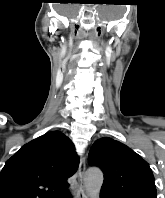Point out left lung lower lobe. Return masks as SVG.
<instances>
[{"label":"left lung lower lobe","instance_id":"0a47b994","mask_svg":"<svg viewBox=\"0 0 165 198\" xmlns=\"http://www.w3.org/2000/svg\"><path fill=\"white\" fill-rule=\"evenodd\" d=\"M100 198H117V197L113 193L101 189Z\"/></svg>","mask_w":165,"mask_h":198}]
</instances>
